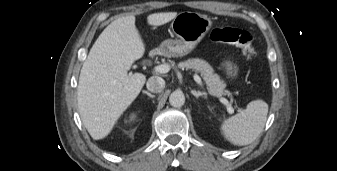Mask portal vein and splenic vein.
Returning a JSON list of instances; mask_svg holds the SVG:
<instances>
[{
	"label": "portal vein and splenic vein",
	"mask_w": 337,
	"mask_h": 171,
	"mask_svg": "<svg viewBox=\"0 0 337 171\" xmlns=\"http://www.w3.org/2000/svg\"><path fill=\"white\" fill-rule=\"evenodd\" d=\"M169 70H170V66L168 64H161V65H158V66L154 67V71L158 72V73H167V72H169ZM193 77H194V80L196 81L197 84H199L201 87L204 86L201 78L197 74H195ZM219 101L226 105L227 111H228L229 114L234 113L233 107L231 106V104L228 102V100L226 98L220 97ZM238 112L242 113L243 110L238 109Z\"/></svg>",
	"instance_id": "portal-vein-and-splenic-vein-1"
}]
</instances>
